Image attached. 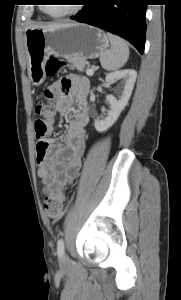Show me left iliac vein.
I'll return each instance as SVG.
<instances>
[{
    "mask_svg": "<svg viewBox=\"0 0 181 300\" xmlns=\"http://www.w3.org/2000/svg\"><path fill=\"white\" fill-rule=\"evenodd\" d=\"M70 264L69 257L66 254H63L60 258V266L63 268L68 267Z\"/></svg>",
    "mask_w": 181,
    "mask_h": 300,
    "instance_id": "4c4485c4",
    "label": "left iliac vein"
}]
</instances>
